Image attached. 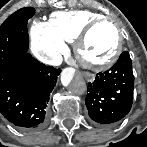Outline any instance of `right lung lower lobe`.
<instances>
[{
    "label": "right lung lower lobe",
    "mask_w": 147,
    "mask_h": 147,
    "mask_svg": "<svg viewBox=\"0 0 147 147\" xmlns=\"http://www.w3.org/2000/svg\"><path fill=\"white\" fill-rule=\"evenodd\" d=\"M59 72L29 54L0 67V112L22 131H37L46 124L45 109Z\"/></svg>",
    "instance_id": "98d812e1"
}]
</instances>
